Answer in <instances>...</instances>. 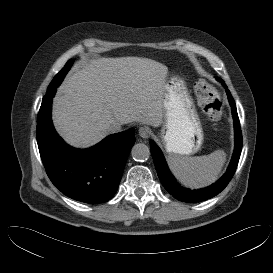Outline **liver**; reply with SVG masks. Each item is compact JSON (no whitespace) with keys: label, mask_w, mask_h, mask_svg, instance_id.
Here are the masks:
<instances>
[{"label":"liver","mask_w":273,"mask_h":273,"mask_svg":"<svg viewBox=\"0 0 273 273\" xmlns=\"http://www.w3.org/2000/svg\"><path fill=\"white\" fill-rule=\"evenodd\" d=\"M168 68L140 57L98 58L69 75L53 103L57 132L70 145L100 142L114 123H163Z\"/></svg>","instance_id":"obj_1"}]
</instances>
